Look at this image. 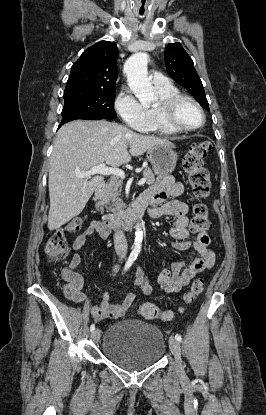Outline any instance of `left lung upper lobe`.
I'll list each match as a JSON object with an SVG mask.
<instances>
[{"label": "left lung upper lobe", "instance_id": "left-lung-upper-lobe-1", "mask_svg": "<svg viewBox=\"0 0 266 415\" xmlns=\"http://www.w3.org/2000/svg\"><path fill=\"white\" fill-rule=\"evenodd\" d=\"M165 63L169 75L206 110L209 109L202 82L195 70L193 60L178 42L168 44L165 48Z\"/></svg>", "mask_w": 266, "mask_h": 415}]
</instances>
